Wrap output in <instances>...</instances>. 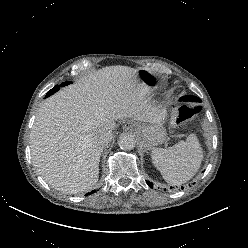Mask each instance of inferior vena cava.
<instances>
[{
    "label": "inferior vena cava",
    "instance_id": "602c4592",
    "mask_svg": "<svg viewBox=\"0 0 248 248\" xmlns=\"http://www.w3.org/2000/svg\"><path fill=\"white\" fill-rule=\"evenodd\" d=\"M111 138H112V131L111 130H105V131L98 132L95 135L94 140L96 143H98L100 145H106L109 143Z\"/></svg>",
    "mask_w": 248,
    "mask_h": 248
}]
</instances>
